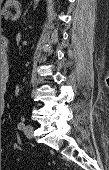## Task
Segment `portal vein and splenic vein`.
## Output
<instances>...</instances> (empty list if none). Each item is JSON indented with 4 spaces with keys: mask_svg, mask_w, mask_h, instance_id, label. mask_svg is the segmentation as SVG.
<instances>
[{
    "mask_svg": "<svg viewBox=\"0 0 109 170\" xmlns=\"http://www.w3.org/2000/svg\"><path fill=\"white\" fill-rule=\"evenodd\" d=\"M19 18V16L18 15H15V16H10V15H8L5 19H11L12 21H15V20H17Z\"/></svg>",
    "mask_w": 109,
    "mask_h": 170,
    "instance_id": "18ae733b",
    "label": "portal vein and splenic vein"
}]
</instances>
